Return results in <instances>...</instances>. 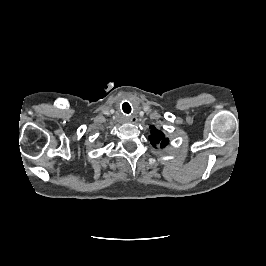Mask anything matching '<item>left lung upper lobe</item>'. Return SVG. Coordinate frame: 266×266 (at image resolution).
I'll return each mask as SVG.
<instances>
[{
  "label": "left lung upper lobe",
  "mask_w": 266,
  "mask_h": 266,
  "mask_svg": "<svg viewBox=\"0 0 266 266\" xmlns=\"http://www.w3.org/2000/svg\"><path fill=\"white\" fill-rule=\"evenodd\" d=\"M151 129V135L149 137L151 144L153 146L160 144L161 148L165 147L168 144L169 139L164 136L163 132L157 130L154 126H151Z\"/></svg>",
  "instance_id": "left-lung-upper-lobe-1"
}]
</instances>
